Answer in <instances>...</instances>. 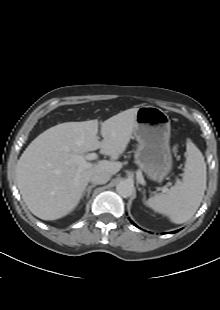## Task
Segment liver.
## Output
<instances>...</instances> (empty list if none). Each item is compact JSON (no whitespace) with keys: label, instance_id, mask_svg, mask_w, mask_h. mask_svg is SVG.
Here are the masks:
<instances>
[{"label":"liver","instance_id":"6515ba94","mask_svg":"<svg viewBox=\"0 0 220 310\" xmlns=\"http://www.w3.org/2000/svg\"><path fill=\"white\" fill-rule=\"evenodd\" d=\"M138 109L122 111L102 122V141L97 136V120L61 123L36 137L16 166L17 186L32 214L43 220L62 218L78 205L93 174H116L121 162L101 160L83 167L75 158L97 149L118 158L132 138Z\"/></svg>","mask_w":220,"mask_h":310}]
</instances>
